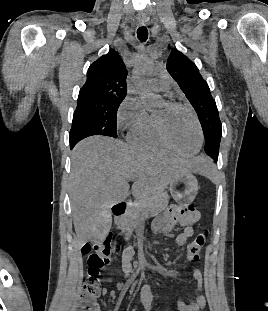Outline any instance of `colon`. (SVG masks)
Listing matches in <instances>:
<instances>
[{"mask_svg": "<svg viewBox=\"0 0 268 311\" xmlns=\"http://www.w3.org/2000/svg\"><path fill=\"white\" fill-rule=\"evenodd\" d=\"M208 232H200L188 245L186 259L190 262L198 261L202 249L207 241ZM100 246L86 244L83 254L87 259V278L81 290V302L76 311H99L97 298L101 291L100 270L112 259L111 237L109 235L100 239Z\"/></svg>", "mask_w": 268, "mask_h": 311, "instance_id": "5ec220e1", "label": "colon"}]
</instances>
